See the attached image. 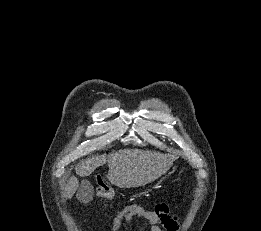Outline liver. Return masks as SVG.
<instances>
[{
    "label": "liver",
    "instance_id": "liver-1",
    "mask_svg": "<svg viewBox=\"0 0 261 231\" xmlns=\"http://www.w3.org/2000/svg\"><path fill=\"white\" fill-rule=\"evenodd\" d=\"M176 157L149 150L124 149L87 158L75 168L81 177L91 175L96 168L108 164V179L120 188H132L149 184L165 174L173 165ZM79 187L76 177H70L65 196L70 199Z\"/></svg>",
    "mask_w": 261,
    "mask_h": 231
}]
</instances>
